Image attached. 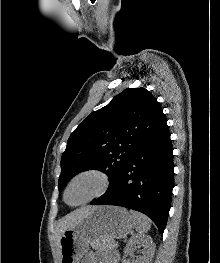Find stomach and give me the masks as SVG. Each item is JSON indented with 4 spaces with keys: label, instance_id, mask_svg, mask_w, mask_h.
Returning <instances> with one entry per match:
<instances>
[{
    "label": "stomach",
    "instance_id": "1",
    "mask_svg": "<svg viewBox=\"0 0 220 263\" xmlns=\"http://www.w3.org/2000/svg\"><path fill=\"white\" fill-rule=\"evenodd\" d=\"M134 223L129 211L118 206H99L60 238V263H80L90 245L111 248L115 238L126 236Z\"/></svg>",
    "mask_w": 220,
    "mask_h": 263
}]
</instances>
